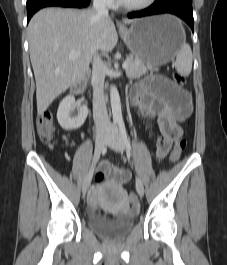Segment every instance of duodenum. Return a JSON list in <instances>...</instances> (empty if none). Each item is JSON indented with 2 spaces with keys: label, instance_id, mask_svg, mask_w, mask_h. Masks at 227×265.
Masks as SVG:
<instances>
[{
  "label": "duodenum",
  "instance_id": "1",
  "mask_svg": "<svg viewBox=\"0 0 227 265\" xmlns=\"http://www.w3.org/2000/svg\"><path fill=\"white\" fill-rule=\"evenodd\" d=\"M84 89H85V78H79L73 83L71 87V91L75 95H81L84 92Z\"/></svg>",
  "mask_w": 227,
  "mask_h": 265
}]
</instances>
